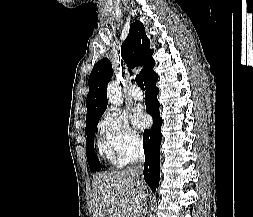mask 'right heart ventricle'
<instances>
[{
    "label": "right heart ventricle",
    "instance_id": "e07e8e85",
    "mask_svg": "<svg viewBox=\"0 0 253 217\" xmlns=\"http://www.w3.org/2000/svg\"><path fill=\"white\" fill-rule=\"evenodd\" d=\"M98 150L101 156L107 158L114 164H117V165L122 164L120 159L115 155L112 147L109 145V143L105 139H100L98 141Z\"/></svg>",
    "mask_w": 253,
    "mask_h": 217
}]
</instances>
